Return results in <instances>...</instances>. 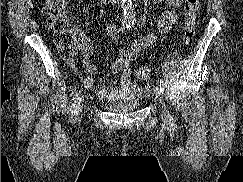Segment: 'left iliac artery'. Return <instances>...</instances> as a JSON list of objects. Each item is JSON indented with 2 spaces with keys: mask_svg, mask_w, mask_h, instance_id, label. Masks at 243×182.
Segmentation results:
<instances>
[{
  "mask_svg": "<svg viewBox=\"0 0 243 182\" xmlns=\"http://www.w3.org/2000/svg\"><path fill=\"white\" fill-rule=\"evenodd\" d=\"M132 27H133V24H130V25H129V28H132ZM159 85H160V89H161V91L163 92V91H164V82H163V80H160ZM170 121L172 122V125H173V123H174V118H173L172 115H170Z\"/></svg>",
  "mask_w": 243,
  "mask_h": 182,
  "instance_id": "obj_1",
  "label": "left iliac artery"
}]
</instances>
